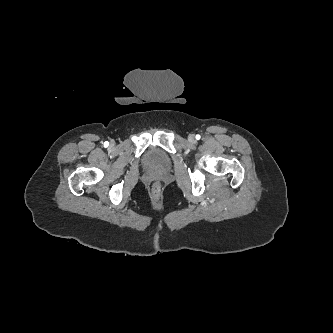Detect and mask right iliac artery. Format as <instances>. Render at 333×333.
Segmentation results:
<instances>
[{
	"mask_svg": "<svg viewBox=\"0 0 333 333\" xmlns=\"http://www.w3.org/2000/svg\"><path fill=\"white\" fill-rule=\"evenodd\" d=\"M108 145H109V143L106 141V142H104V146L105 147H108Z\"/></svg>",
	"mask_w": 333,
	"mask_h": 333,
	"instance_id": "1",
	"label": "right iliac artery"
}]
</instances>
